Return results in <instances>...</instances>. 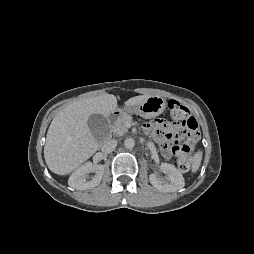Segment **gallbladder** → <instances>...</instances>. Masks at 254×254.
I'll return each instance as SVG.
<instances>
[{"mask_svg":"<svg viewBox=\"0 0 254 254\" xmlns=\"http://www.w3.org/2000/svg\"><path fill=\"white\" fill-rule=\"evenodd\" d=\"M87 123L96 141L101 142L106 138L109 131V123L104 115L92 114L89 116Z\"/></svg>","mask_w":254,"mask_h":254,"instance_id":"1","label":"gallbladder"}]
</instances>
